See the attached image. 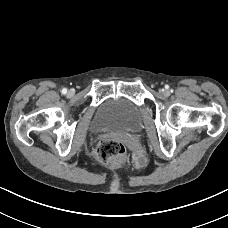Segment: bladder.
Wrapping results in <instances>:
<instances>
[{
    "mask_svg": "<svg viewBox=\"0 0 228 228\" xmlns=\"http://www.w3.org/2000/svg\"><path fill=\"white\" fill-rule=\"evenodd\" d=\"M141 106L125 97L104 100L95 110L90 127L94 132H133L143 123Z\"/></svg>",
    "mask_w": 228,
    "mask_h": 228,
    "instance_id": "bladder-1",
    "label": "bladder"
}]
</instances>
